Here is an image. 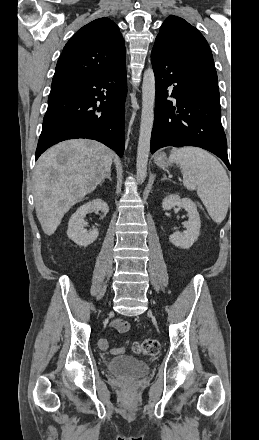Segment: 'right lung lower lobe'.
Instances as JSON below:
<instances>
[{"label":"right lung lower lobe","instance_id":"right-lung-lower-lobe-1","mask_svg":"<svg viewBox=\"0 0 259 440\" xmlns=\"http://www.w3.org/2000/svg\"><path fill=\"white\" fill-rule=\"evenodd\" d=\"M126 95L125 62L104 73L52 84L35 160L54 144L76 138L97 140L122 156Z\"/></svg>","mask_w":259,"mask_h":440}]
</instances>
